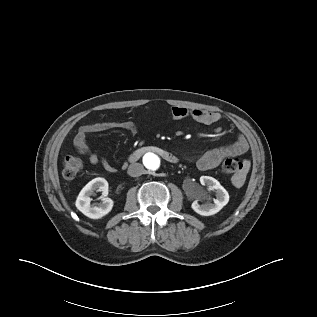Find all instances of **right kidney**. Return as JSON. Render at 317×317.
Wrapping results in <instances>:
<instances>
[{
    "instance_id": "right-kidney-1",
    "label": "right kidney",
    "mask_w": 317,
    "mask_h": 317,
    "mask_svg": "<svg viewBox=\"0 0 317 317\" xmlns=\"http://www.w3.org/2000/svg\"><path fill=\"white\" fill-rule=\"evenodd\" d=\"M98 190L102 192V201L96 204H90L93 191ZM108 195V182L106 179L98 177L91 180L80 191L76 199V207L84 215L91 219H99L107 215L113 207V200L107 197Z\"/></svg>"
}]
</instances>
